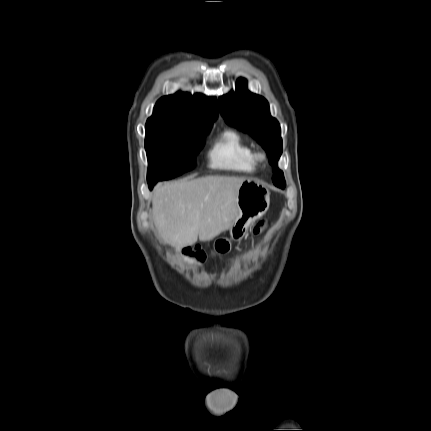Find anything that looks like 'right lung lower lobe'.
<instances>
[{
    "label": "right lung lower lobe",
    "mask_w": 431,
    "mask_h": 431,
    "mask_svg": "<svg viewBox=\"0 0 431 431\" xmlns=\"http://www.w3.org/2000/svg\"><path fill=\"white\" fill-rule=\"evenodd\" d=\"M155 184H156L155 182H148V186L151 190Z\"/></svg>",
    "instance_id": "obj_1"
}]
</instances>
